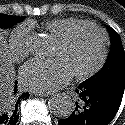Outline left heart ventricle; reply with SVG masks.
I'll list each match as a JSON object with an SVG mask.
<instances>
[{"label": "left heart ventricle", "instance_id": "b2bd125f", "mask_svg": "<svg viewBox=\"0 0 125 125\" xmlns=\"http://www.w3.org/2000/svg\"><path fill=\"white\" fill-rule=\"evenodd\" d=\"M101 47V35L87 27L79 30L65 46L56 42L52 57L62 58L70 71L75 74L88 70L96 63Z\"/></svg>", "mask_w": 125, "mask_h": 125}]
</instances>
